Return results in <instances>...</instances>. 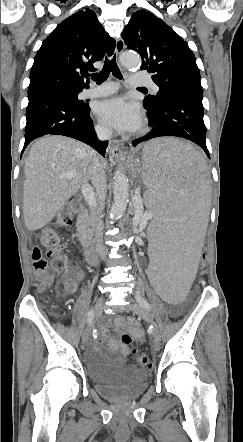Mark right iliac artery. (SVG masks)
<instances>
[{
  "mask_svg": "<svg viewBox=\"0 0 243 442\" xmlns=\"http://www.w3.org/2000/svg\"><path fill=\"white\" fill-rule=\"evenodd\" d=\"M93 317V310H90L89 314H88V321H91Z\"/></svg>",
  "mask_w": 243,
  "mask_h": 442,
  "instance_id": "obj_1",
  "label": "right iliac artery"
}]
</instances>
